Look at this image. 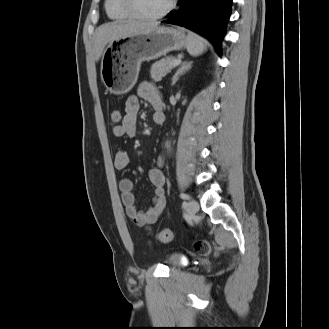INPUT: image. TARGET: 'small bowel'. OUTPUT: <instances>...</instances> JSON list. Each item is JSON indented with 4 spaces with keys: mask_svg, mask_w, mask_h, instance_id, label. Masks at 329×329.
<instances>
[{
    "mask_svg": "<svg viewBox=\"0 0 329 329\" xmlns=\"http://www.w3.org/2000/svg\"><path fill=\"white\" fill-rule=\"evenodd\" d=\"M140 99L148 102L154 109L162 107V97L156 88L150 83H143L137 95H131L125 102V114L119 125L112 126V134L116 138L134 137L137 134V115L140 109ZM129 164V156L123 150H117L114 158L115 168L124 170ZM162 162L158 161L157 165L150 169L148 176L154 187V203L145 210L140 211L136 205V198L133 192V181L123 177L119 181V190L121 201L124 205L126 215L137 226L149 229L164 211L166 206L165 199V176L161 170Z\"/></svg>",
    "mask_w": 329,
    "mask_h": 329,
    "instance_id": "small-bowel-1",
    "label": "small bowel"
}]
</instances>
